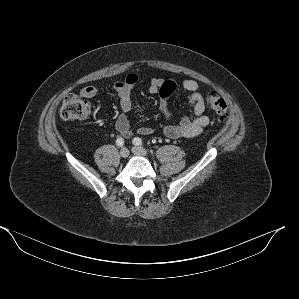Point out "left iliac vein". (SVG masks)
Returning <instances> with one entry per match:
<instances>
[{
    "label": "left iliac vein",
    "instance_id": "left-iliac-vein-1",
    "mask_svg": "<svg viewBox=\"0 0 299 299\" xmlns=\"http://www.w3.org/2000/svg\"><path fill=\"white\" fill-rule=\"evenodd\" d=\"M132 152L139 156H146L148 154L147 150L140 146H134Z\"/></svg>",
    "mask_w": 299,
    "mask_h": 299
}]
</instances>
